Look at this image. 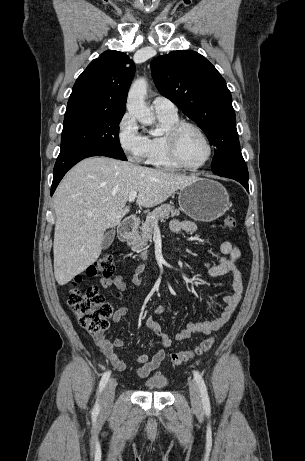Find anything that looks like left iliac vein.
Returning a JSON list of instances; mask_svg holds the SVG:
<instances>
[{"instance_id": "1", "label": "left iliac vein", "mask_w": 305, "mask_h": 461, "mask_svg": "<svg viewBox=\"0 0 305 461\" xmlns=\"http://www.w3.org/2000/svg\"><path fill=\"white\" fill-rule=\"evenodd\" d=\"M189 392H190V400L192 406L197 410L200 411L202 409V400L199 387L194 380H189Z\"/></svg>"}]
</instances>
